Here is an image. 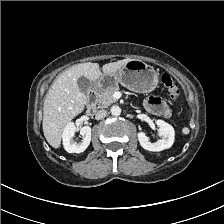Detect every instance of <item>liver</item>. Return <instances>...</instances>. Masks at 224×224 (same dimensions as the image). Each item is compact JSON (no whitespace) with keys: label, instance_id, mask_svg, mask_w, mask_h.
Wrapping results in <instances>:
<instances>
[{"label":"liver","instance_id":"liver-1","mask_svg":"<svg viewBox=\"0 0 224 224\" xmlns=\"http://www.w3.org/2000/svg\"><path fill=\"white\" fill-rule=\"evenodd\" d=\"M129 60L123 59L103 65L102 72L97 63L75 65L60 74L52 83L43 106V133L47 142L55 149L60 147L66 125L83 112L87 98L79 89L77 80L85 76L96 82L103 74L114 73Z\"/></svg>","mask_w":224,"mask_h":224}]
</instances>
